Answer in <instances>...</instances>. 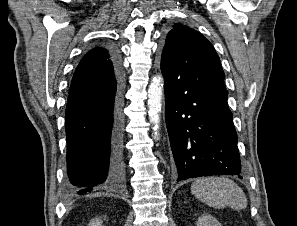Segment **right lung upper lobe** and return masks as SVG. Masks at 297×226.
<instances>
[{"label":"right lung upper lobe","mask_w":297,"mask_h":226,"mask_svg":"<svg viewBox=\"0 0 297 226\" xmlns=\"http://www.w3.org/2000/svg\"><path fill=\"white\" fill-rule=\"evenodd\" d=\"M116 59L105 48L90 50L73 75L69 94L103 87L115 81Z\"/></svg>","instance_id":"obj_1"}]
</instances>
